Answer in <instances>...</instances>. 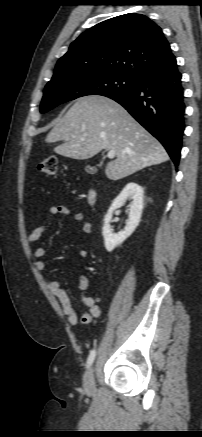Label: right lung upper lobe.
Segmentation results:
<instances>
[{"label": "right lung upper lobe", "instance_id": "right-lung-upper-lobe-1", "mask_svg": "<svg viewBox=\"0 0 202 437\" xmlns=\"http://www.w3.org/2000/svg\"><path fill=\"white\" fill-rule=\"evenodd\" d=\"M173 59L162 29L145 15L128 13L82 33L58 60L52 79L102 73L138 79Z\"/></svg>", "mask_w": 202, "mask_h": 437}]
</instances>
